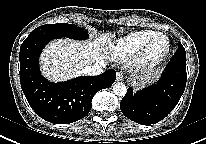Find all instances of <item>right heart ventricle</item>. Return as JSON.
Returning <instances> with one entry per match:
<instances>
[{
    "label": "right heart ventricle",
    "instance_id": "obj_1",
    "mask_svg": "<svg viewBox=\"0 0 206 144\" xmlns=\"http://www.w3.org/2000/svg\"><path fill=\"white\" fill-rule=\"evenodd\" d=\"M158 32L153 30H140L130 32L115 40L109 45V52L115 58H125L135 55L143 45Z\"/></svg>",
    "mask_w": 206,
    "mask_h": 144
}]
</instances>
